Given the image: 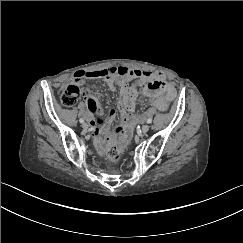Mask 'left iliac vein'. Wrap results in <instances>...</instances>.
<instances>
[{
    "mask_svg": "<svg viewBox=\"0 0 243 243\" xmlns=\"http://www.w3.org/2000/svg\"><path fill=\"white\" fill-rule=\"evenodd\" d=\"M149 129H150V126L146 124V125H143V126H142L141 131H142L143 133H146V132H148Z\"/></svg>",
    "mask_w": 243,
    "mask_h": 243,
    "instance_id": "1",
    "label": "left iliac vein"
}]
</instances>
